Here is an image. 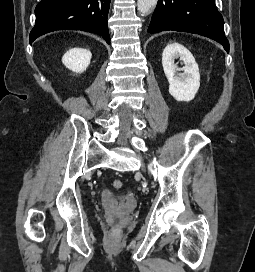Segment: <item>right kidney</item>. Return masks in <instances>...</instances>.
I'll list each match as a JSON object with an SVG mask.
<instances>
[{
    "label": "right kidney",
    "instance_id": "obj_1",
    "mask_svg": "<svg viewBox=\"0 0 255 272\" xmlns=\"http://www.w3.org/2000/svg\"><path fill=\"white\" fill-rule=\"evenodd\" d=\"M91 52L83 48H72L62 57V63L75 73L84 72L90 64Z\"/></svg>",
    "mask_w": 255,
    "mask_h": 272
}]
</instances>
